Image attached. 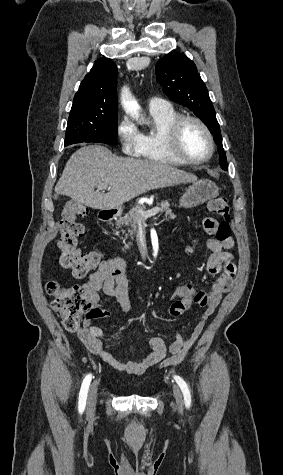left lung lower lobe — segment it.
<instances>
[{
	"mask_svg": "<svg viewBox=\"0 0 283 475\" xmlns=\"http://www.w3.org/2000/svg\"><path fill=\"white\" fill-rule=\"evenodd\" d=\"M215 143L217 144L218 152L220 153V165H221L222 169L228 170L226 155H225V152H224L223 146H222V140H220V141L215 140Z\"/></svg>",
	"mask_w": 283,
	"mask_h": 475,
	"instance_id": "0a47b994",
	"label": "left lung lower lobe"
}]
</instances>
